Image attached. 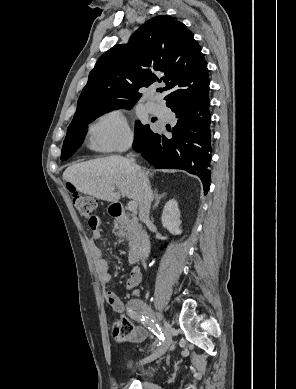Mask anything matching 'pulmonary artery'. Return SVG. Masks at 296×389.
I'll use <instances>...</instances> for the list:
<instances>
[{
    "instance_id": "obj_1",
    "label": "pulmonary artery",
    "mask_w": 296,
    "mask_h": 389,
    "mask_svg": "<svg viewBox=\"0 0 296 389\" xmlns=\"http://www.w3.org/2000/svg\"><path fill=\"white\" fill-rule=\"evenodd\" d=\"M146 106L148 110L153 114L159 115L163 112L162 106L157 101L151 100L147 102Z\"/></svg>"
}]
</instances>
